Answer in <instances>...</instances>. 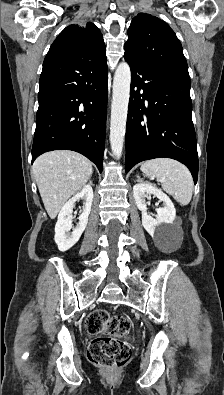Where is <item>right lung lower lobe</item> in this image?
Segmentation results:
<instances>
[{"label": "right lung lower lobe", "instance_id": "1", "mask_svg": "<svg viewBox=\"0 0 224 395\" xmlns=\"http://www.w3.org/2000/svg\"><path fill=\"white\" fill-rule=\"evenodd\" d=\"M108 77L106 59L79 60L61 51L43 62L32 162L52 150H73L102 172Z\"/></svg>", "mask_w": 224, "mask_h": 395}]
</instances>
